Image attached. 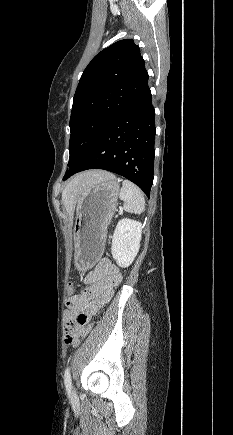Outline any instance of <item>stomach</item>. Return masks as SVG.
<instances>
[{"label": "stomach", "mask_w": 233, "mask_h": 435, "mask_svg": "<svg viewBox=\"0 0 233 435\" xmlns=\"http://www.w3.org/2000/svg\"><path fill=\"white\" fill-rule=\"evenodd\" d=\"M119 188V180L109 173L87 188L77 201L73 238L75 266L79 272L91 269L102 255Z\"/></svg>", "instance_id": "0dacf381"}]
</instances>
